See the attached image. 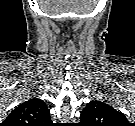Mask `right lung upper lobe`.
<instances>
[{
	"instance_id": "obj_1",
	"label": "right lung upper lobe",
	"mask_w": 135,
	"mask_h": 126,
	"mask_svg": "<svg viewBox=\"0 0 135 126\" xmlns=\"http://www.w3.org/2000/svg\"><path fill=\"white\" fill-rule=\"evenodd\" d=\"M50 112L46 103L38 98L23 102L5 119L3 126H49Z\"/></svg>"
}]
</instances>
